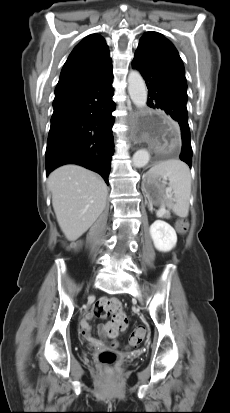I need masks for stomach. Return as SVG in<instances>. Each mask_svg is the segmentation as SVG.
Here are the masks:
<instances>
[{"mask_svg":"<svg viewBox=\"0 0 230 413\" xmlns=\"http://www.w3.org/2000/svg\"><path fill=\"white\" fill-rule=\"evenodd\" d=\"M165 184L158 177H151L146 174L142 182V191L150 204L155 206L166 205L168 194Z\"/></svg>","mask_w":230,"mask_h":413,"instance_id":"obj_1","label":"stomach"}]
</instances>
